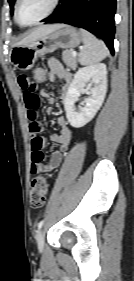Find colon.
Returning a JSON list of instances; mask_svg holds the SVG:
<instances>
[{"label":"colon","instance_id":"1","mask_svg":"<svg viewBox=\"0 0 134 281\" xmlns=\"http://www.w3.org/2000/svg\"><path fill=\"white\" fill-rule=\"evenodd\" d=\"M34 80L37 84H42L47 80V72L43 68L34 71ZM48 193V184L44 177L37 176L32 181L30 204L34 208H39L45 203Z\"/></svg>","mask_w":134,"mask_h":281}]
</instances>
